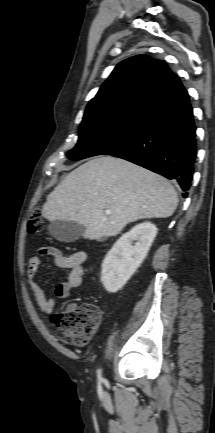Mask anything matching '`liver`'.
I'll use <instances>...</instances> for the list:
<instances>
[{"instance_id": "liver-1", "label": "liver", "mask_w": 215, "mask_h": 433, "mask_svg": "<svg viewBox=\"0 0 215 433\" xmlns=\"http://www.w3.org/2000/svg\"><path fill=\"white\" fill-rule=\"evenodd\" d=\"M178 196L164 177L129 161L97 157L71 171L48 195L42 215L84 226L83 236L100 240L131 222L170 217ZM111 214L106 215L105 211Z\"/></svg>"}]
</instances>
